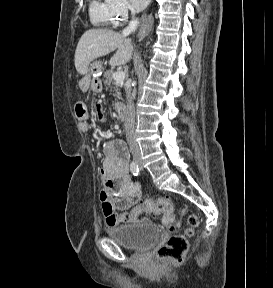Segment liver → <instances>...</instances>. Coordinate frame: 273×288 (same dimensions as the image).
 I'll list each match as a JSON object with an SVG mask.
<instances>
[{"instance_id": "6515ba94", "label": "liver", "mask_w": 273, "mask_h": 288, "mask_svg": "<svg viewBox=\"0 0 273 288\" xmlns=\"http://www.w3.org/2000/svg\"><path fill=\"white\" fill-rule=\"evenodd\" d=\"M116 50L109 61L111 67L125 65L133 55L130 39L108 29H90L80 38L75 51V68L80 75L88 72L90 63Z\"/></svg>"}]
</instances>
